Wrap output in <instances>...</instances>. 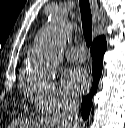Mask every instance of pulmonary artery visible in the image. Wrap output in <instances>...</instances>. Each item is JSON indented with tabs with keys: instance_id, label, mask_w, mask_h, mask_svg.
Returning <instances> with one entry per match:
<instances>
[{
	"instance_id": "1",
	"label": "pulmonary artery",
	"mask_w": 125,
	"mask_h": 128,
	"mask_svg": "<svg viewBox=\"0 0 125 128\" xmlns=\"http://www.w3.org/2000/svg\"><path fill=\"white\" fill-rule=\"evenodd\" d=\"M66 58L72 62H82L86 59V53L81 46H74L65 53Z\"/></svg>"
}]
</instances>
